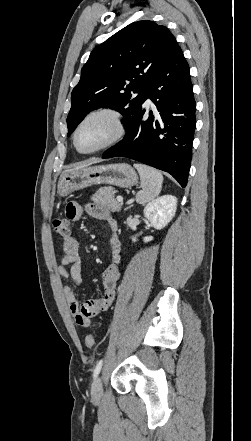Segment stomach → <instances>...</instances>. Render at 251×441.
Returning a JSON list of instances; mask_svg holds the SVG:
<instances>
[{
  "instance_id": "stomach-1",
  "label": "stomach",
  "mask_w": 251,
  "mask_h": 441,
  "mask_svg": "<svg viewBox=\"0 0 251 441\" xmlns=\"http://www.w3.org/2000/svg\"><path fill=\"white\" fill-rule=\"evenodd\" d=\"M137 182L136 171L126 163L87 166L63 173L58 182V194L67 196L71 192L100 184L129 188Z\"/></svg>"
}]
</instances>
